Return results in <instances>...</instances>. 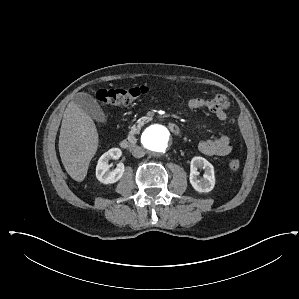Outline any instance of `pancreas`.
<instances>
[{"instance_id": "1", "label": "pancreas", "mask_w": 299, "mask_h": 299, "mask_svg": "<svg viewBox=\"0 0 299 299\" xmlns=\"http://www.w3.org/2000/svg\"><path fill=\"white\" fill-rule=\"evenodd\" d=\"M145 122H147L146 119L139 120L136 124H134L131 127V131L129 132V134L134 135V134L138 133L140 131L141 127L145 124Z\"/></svg>"}]
</instances>
